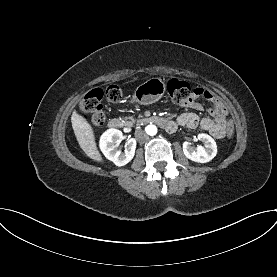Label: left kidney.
<instances>
[{
    "label": "left kidney",
    "mask_w": 277,
    "mask_h": 277,
    "mask_svg": "<svg viewBox=\"0 0 277 277\" xmlns=\"http://www.w3.org/2000/svg\"><path fill=\"white\" fill-rule=\"evenodd\" d=\"M198 139L204 143V146L193 148L191 143L185 141L183 143L184 155L197 163H207L211 161L217 154V145L214 139L208 134H199Z\"/></svg>",
    "instance_id": "5707ae66"
}]
</instances>
